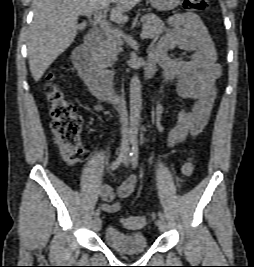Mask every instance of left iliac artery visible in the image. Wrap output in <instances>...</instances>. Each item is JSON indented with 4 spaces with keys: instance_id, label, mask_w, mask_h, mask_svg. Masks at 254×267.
Wrapping results in <instances>:
<instances>
[{
    "instance_id": "obj_1",
    "label": "left iliac artery",
    "mask_w": 254,
    "mask_h": 267,
    "mask_svg": "<svg viewBox=\"0 0 254 267\" xmlns=\"http://www.w3.org/2000/svg\"><path fill=\"white\" fill-rule=\"evenodd\" d=\"M130 156H131V163L133 167L136 168L138 165V158H139L138 142L136 140L132 142V150ZM158 214L160 218L165 219V214L162 211H159Z\"/></svg>"
}]
</instances>
